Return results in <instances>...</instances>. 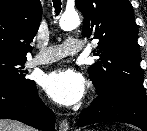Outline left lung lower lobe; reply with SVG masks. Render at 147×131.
I'll return each mask as SVG.
<instances>
[{"mask_svg":"<svg viewBox=\"0 0 147 131\" xmlns=\"http://www.w3.org/2000/svg\"><path fill=\"white\" fill-rule=\"evenodd\" d=\"M100 122H122L147 131V97L145 93L119 90L100 96L82 111L78 126Z\"/></svg>","mask_w":147,"mask_h":131,"instance_id":"left-lung-lower-lobe-1","label":"left lung lower lobe"}]
</instances>
